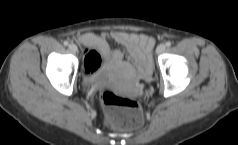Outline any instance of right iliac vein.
Wrapping results in <instances>:
<instances>
[{"label": "right iliac vein", "instance_id": "right-iliac-vein-1", "mask_svg": "<svg viewBox=\"0 0 238 145\" xmlns=\"http://www.w3.org/2000/svg\"><path fill=\"white\" fill-rule=\"evenodd\" d=\"M69 49H70V51H72L73 53H76V52L78 51V48H77L76 44H74V43H71V44L69 45Z\"/></svg>", "mask_w": 238, "mask_h": 145}]
</instances>
